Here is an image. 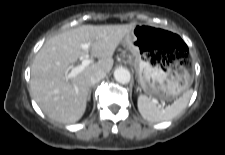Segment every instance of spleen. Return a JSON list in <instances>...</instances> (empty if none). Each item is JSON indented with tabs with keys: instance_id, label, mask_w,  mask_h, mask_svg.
Here are the masks:
<instances>
[{
	"instance_id": "3e777b00",
	"label": "spleen",
	"mask_w": 225,
	"mask_h": 155,
	"mask_svg": "<svg viewBox=\"0 0 225 155\" xmlns=\"http://www.w3.org/2000/svg\"><path fill=\"white\" fill-rule=\"evenodd\" d=\"M193 90H187L182 97L174 101L165 108H159L154 99L140 95L138 97L137 106L141 116L150 122L168 121L179 115L187 106Z\"/></svg>"
}]
</instances>
